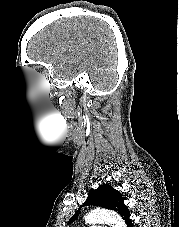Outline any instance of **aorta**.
<instances>
[{"instance_id": "obj_1", "label": "aorta", "mask_w": 179, "mask_h": 227, "mask_svg": "<svg viewBox=\"0 0 179 227\" xmlns=\"http://www.w3.org/2000/svg\"><path fill=\"white\" fill-rule=\"evenodd\" d=\"M84 219L88 224L105 222L112 224L113 227H126L124 221L119 215H117L115 212L104 209L91 210Z\"/></svg>"}]
</instances>
